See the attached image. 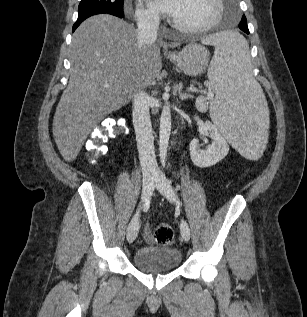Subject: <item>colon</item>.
I'll use <instances>...</instances> for the list:
<instances>
[{"label":"colon","instance_id":"obj_1","mask_svg":"<svg viewBox=\"0 0 307 317\" xmlns=\"http://www.w3.org/2000/svg\"><path fill=\"white\" fill-rule=\"evenodd\" d=\"M124 124L117 119H106L93 127L85 142V149L92 161L97 160L107 152V142L122 131ZM174 234L168 224H159L154 230V240L159 245H169Z\"/></svg>","mask_w":307,"mask_h":317}]
</instances>
